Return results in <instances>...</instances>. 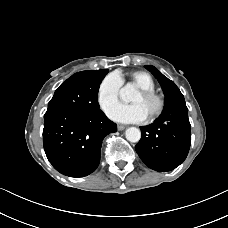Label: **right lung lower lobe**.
Instances as JSON below:
<instances>
[{
    "mask_svg": "<svg viewBox=\"0 0 228 228\" xmlns=\"http://www.w3.org/2000/svg\"><path fill=\"white\" fill-rule=\"evenodd\" d=\"M117 126L100 110L47 111L44 115L43 145L52 166L70 177H83L99 165L104 137Z\"/></svg>",
    "mask_w": 228,
    "mask_h": 228,
    "instance_id": "right-lung-lower-lobe-1",
    "label": "right lung lower lobe"
}]
</instances>
